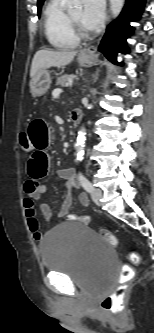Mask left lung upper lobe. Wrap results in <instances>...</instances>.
<instances>
[{
	"label": "left lung upper lobe",
	"mask_w": 154,
	"mask_h": 333,
	"mask_svg": "<svg viewBox=\"0 0 154 333\" xmlns=\"http://www.w3.org/2000/svg\"><path fill=\"white\" fill-rule=\"evenodd\" d=\"M43 3H44V0H38V3H37V5H38V11H40L41 6L43 5Z\"/></svg>",
	"instance_id": "5c2ea615"
}]
</instances>
